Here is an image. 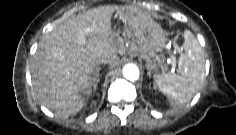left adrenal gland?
<instances>
[{
  "label": "left adrenal gland",
  "instance_id": "obj_1",
  "mask_svg": "<svg viewBox=\"0 0 236 135\" xmlns=\"http://www.w3.org/2000/svg\"><path fill=\"white\" fill-rule=\"evenodd\" d=\"M148 76H149V78L151 77V73H150V71H148Z\"/></svg>",
  "mask_w": 236,
  "mask_h": 135
}]
</instances>
